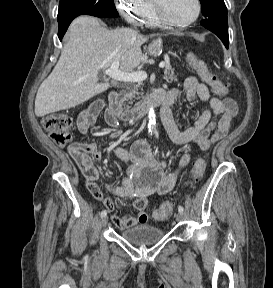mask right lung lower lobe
<instances>
[{"label":"right lung lower lobe","mask_w":273,"mask_h":288,"mask_svg":"<svg viewBox=\"0 0 273 288\" xmlns=\"http://www.w3.org/2000/svg\"><path fill=\"white\" fill-rule=\"evenodd\" d=\"M77 16H79V15L72 16V17H69V18L61 21V22H58V25H59L58 37H59L60 40H62V37L64 36V34H65L68 26L72 22V20L74 18H76Z\"/></svg>","instance_id":"right-lung-lower-lobe-1"}]
</instances>
